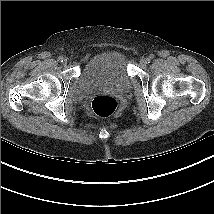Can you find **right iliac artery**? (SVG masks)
<instances>
[{
	"mask_svg": "<svg viewBox=\"0 0 214 214\" xmlns=\"http://www.w3.org/2000/svg\"><path fill=\"white\" fill-rule=\"evenodd\" d=\"M63 60H64V58L61 57V56L58 58V61H59V62H63Z\"/></svg>",
	"mask_w": 214,
	"mask_h": 214,
	"instance_id": "right-iliac-artery-1",
	"label": "right iliac artery"
}]
</instances>
